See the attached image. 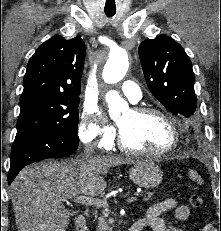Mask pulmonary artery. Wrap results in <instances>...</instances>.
Instances as JSON below:
<instances>
[{
    "instance_id": "pulmonary-artery-1",
    "label": "pulmonary artery",
    "mask_w": 221,
    "mask_h": 231,
    "mask_svg": "<svg viewBox=\"0 0 221 231\" xmlns=\"http://www.w3.org/2000/svg\"><path fill=\"white\" fill-rule=\"evenodd\" d=\"M123 94L133 103L141 100L142 93L139 86L132 81H125L121 85Z\"/></svg>"
}]
</instances>
